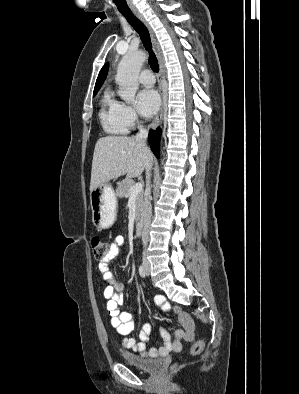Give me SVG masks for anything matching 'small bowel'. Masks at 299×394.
Masks as SVG:
<instances>
[{
  "label": "small bowel",
  "instance_id": "obj_1",
  "mask_svg": "<svg viewBox=\"0 0 299 394\" xmlns=\"http://www.w3.org/2000/svg\"><path fill=\"white\" fill-rule=\"evenodd\" d=\"M124 244L125 238L123 236H117L110 245L108 256L99 263L98 270L102 280L108 284L104 289L103 295L107 299V310L111 317V325L120 335L128 336L134 330L133 315L129 312L120 311L119 305L122 301L121 291L123 285L114 277L113 272L109 268V264L118 257L120 249ZM154 301L164 311L171 309L170 304L161 295L156 296ZM173 310L178 315V320L182 328L175 331L174 338L171 337L165 328H161V334L164 340L162 347L147 349L146 342L153 331L151 324H144L142 326L139 333L140 341H136L131 337H125L122 341V346L138 353L142 357L151 358L163 357L170 352L180 351L183 341H192L194 339L195 324L193 319L179 307H174Z\"/></svg>",
  "mask_w": 299,
  "mask_h": 394
}]
</instances>
